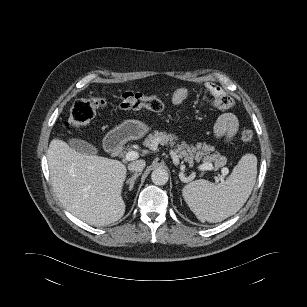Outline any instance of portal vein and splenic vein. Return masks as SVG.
<instances>
[{
  "mask_svg": "<svg viewBox=\"0 0 307 307\" xmlns=\"http://www.w3.org/2000/svg\"><path fill=\"white\" fill-rule=\"evenodd\" d=\"M136 158H138V153L136 151H129L125 154V159L128 161L135 160ZM199 169L201 171L213 170L214 166L212 165V163H204L199 166ZM228 172H229L228 168L225 167L222 169V173L224 175L228 174Z\"/></svg>",
  "mask_w": 307,
  "mask_h": 307,
  "instance_id": "portal-vein-and-splenic-vein-1",
  "label": "portal vein and splenic vein"
}]
</instances>
